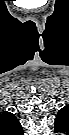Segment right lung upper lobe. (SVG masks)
Wrapping results in <instances>:
<instances>
[{"label":"right lung upper lobe","mask_w":69,"mask_h":135,"mask_svg":"<svg viewBox=\"0 0 69 135\" xmlns=\"http://www.w3.org/2000/svg\"><path fill=\"white\" fill-rule=\"evenodd\" d=\"M7 117L9 118V122H10V127H9V130L11 128V131H9L10 135H12V130L14 131H18V132H22V128H21V124L19 123V121L16 119V117L12 114V113H7ZM14 134H18V133H15Z\"/></svg>","instance_id":"right-lung-upper-lobe-1"}]
</instances>
